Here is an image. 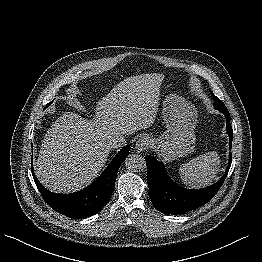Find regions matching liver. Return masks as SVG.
I'll return each instance as SVG.
<instances>
[{
	"mask_svg": "<svg viewBox=\"0 0 262 262\" xmlns=\"http://www.w3.org/2000/svg\"><path fill=\"white\" fill-rule=\"evenodd\" d=\"M163 74L125 78L97 102L89 122L66 112L48 129L35 172L46 188L74 192L90 184L107 161L109 140L150 127L155 120Z\"/></svg>",
	"mask_w": 262,
	"mask_h": 262,
	"instance_id": "liver-1",
	"label": "liver"
}]
</instances>
